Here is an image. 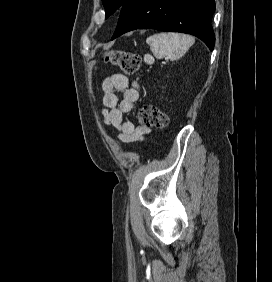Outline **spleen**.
I'll return each instance as SVG.
<instances>
[{
	"mask_svg": "<svg viewBox=\"0 0 272 282\" xmlns=\"http://www.w3.org/2000/svg\"><path fill=\"white\" fill-rule=\"evenodd\" d=\"M147 44L157 58L180 59L194 44L193 37L178 33H159L147 38Z\"/></svg>",
	"mask_w": 272,
	"mask_h": 282,
	"instance_id": "spleen-1",
	"label": "spleen"
}]
</instances>
